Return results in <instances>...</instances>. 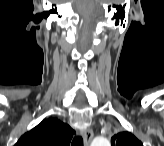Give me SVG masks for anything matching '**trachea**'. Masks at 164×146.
<instances>
[{
	"instance_id": "1",
	"label": "trachea",
	"mask_w": 164,
	"mask_h": 146,
	"mask_svg": "<svg viewBox=\"0 0 164 146\" xmlns=\"http://www.w3.org/2000/svg\"><path fill=\"white\" fill-rule=\"evenodd\" d=\"M72 146H83V139L81 136L74 137L72 141Z\"/></svg>"
}]
</instances>
